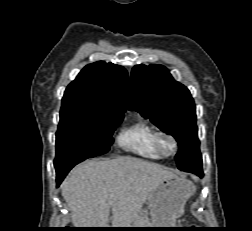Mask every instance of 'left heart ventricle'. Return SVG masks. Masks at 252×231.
Instances as JSON below:
<instances>
[{
    "label": "left heart ventricle",
    "mask_w": 252,
    "mask_h": 231,
    "mask_svg": "<svg viewBox=\"0 0 252 231\" xmlns=\"http://www.w3.org/2000/svg\"><path fill=\"white\" fill-rule=\"evenodd\" d=\"M162 144H163L164 150L167 152H170L173 148V144L169 139H164Z\"/></svg>",
    "instance_id": "1"
}]
</instances>
